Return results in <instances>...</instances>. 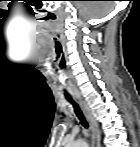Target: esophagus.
Instances as JSON below:
<instances>
[{
  "instance_id": "1",
  "label": "esophagus",
  "mask_w": 140,
  "mask_h": 147,
  "mask_svg": "<svg viewBox=\"0 0 140 147\" xmlns=\"http://www.w3.org/2000/svg\"><path fill=\"white\" fill-rule=\"evenodd\" d=\"M81 108L90 124L91 132H92V147H101L100 145V130L97 121L95 120L92 112L90 111L89 107L86 103L81 99L80 96H77Z\"/></svg>"
}]
</instances>
